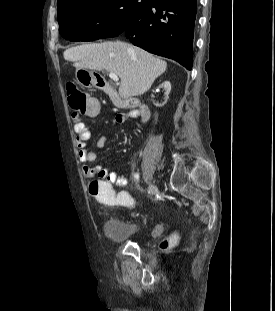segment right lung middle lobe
I'll return each instance as SVG.
<instances>
[{"label":"right lung middle lobe","instance_id":"dd1d6c3e","mask_svg":"<svg viewBox=\"0 0 275 311\" xmlns=\"http://www.w3.org/2000/svg\"><path fill=\"white\" fill-rule=\"evenodd\" d=\"M154 0H71L57 6L62 37L79 41L89 35L99 38L121 34L133 17Z\"/></svg>","mask_w":275,"mask_h":311}]
</instances>
